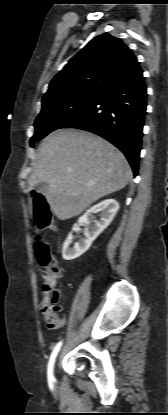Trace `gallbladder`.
Wrapping results in <instances>:
<instances>
[{"instance_id": "1", "label": "gallbladder", "mask_w": 168, "mask_h": 415, "mask_svg": "<svg viewBox=\"0 0 168 415\" xmlns=\"http://www.w3.org/2000/svg\"><path fill=\"white\" fill-rule=\"evenodd\" d=\"M49 185L45 182H40L37 184V189L42 192L46 193L48 191Z\"/></svg>"}]
</instances>
